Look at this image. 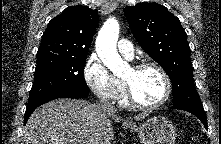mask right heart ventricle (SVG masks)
I'll return each instance as SVG.
<instances>
[{
	"label": "right heart ventricle",
	"mask_w": 221,
	"mask_h": 144,
	"mask_svg": "<svg viewBox=\"0 0 221 144\" xmlns=\"http://www.w3.org/2000/svg\"><path fill=\"white\" fill-rule=\"evenodd\" d=\"M119 99H120L121 105H123V106L128 105V100H127L126 95H125V89H124V92H123V94L121 95V97Z\"/></svg>",
	"instance_id": "e07e8e85"
}]
</instances>
